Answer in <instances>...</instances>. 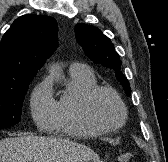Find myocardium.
Segmentation results:
<instances>
[{
  "label": "myocardium",
  "instance_id": "f54148a6",
  "mask_svg": "<svg viewBox=\"0 0 168 162\" xmlns=\"http://www.w3.org/2000/svg\"><path fill=\"white\" fill-rule=\"evenodd\" d=\"M108 93L110 95H112L120 109H121V120L117 125L114 126H106L104 124H102L95 116L94 111H93V103H94V99L96 98V96L99 93ZM83 112L84 115L86 117V119L88 120V122L94 126L95 128L101 130L102 132H113V131H117L119 129H121L127 120V108L126 105L122 99V97L120 96V94L113 88L108 87V86H95L92 89H90L87 94L84 97L83 100Z\"/></svg>",
  "mask_w": 168,
  "mask_h": 162
}]
</instances>
